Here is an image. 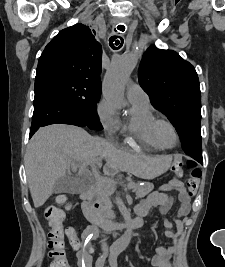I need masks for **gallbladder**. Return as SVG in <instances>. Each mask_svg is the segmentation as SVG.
Here are the masks:
<instances>
[{
	"label": "gallbladder",
	"instance_id": "bac80fb5",
	"mask_svg": "<svg viewBox=\"0 0 225 267\" xmlns=\"http://www.w3.org/2000/svg\"><path fill=\"white\" fill-rule=\"evenodd\" d=\"M53 190L55 193H79L80 185L76 178L67 174L55 181Z\"/></svg>",
	"mask_w": 225,
	"mask_h": 267
}]
</instances>
